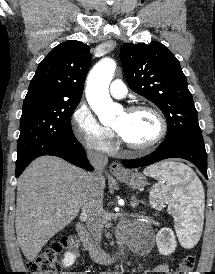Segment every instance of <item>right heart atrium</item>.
I'll use <instances>...</instances> for the list:
<instances>
[{
  "instance_id": "d8ad5b80",
  "label": "right heart atrium",
  "mask_w": 215,
  "mask_h": 274,
  "mask_svg": "<svg viewBox=\"0 0 215 274\" xmlns=\"http://www.w3.org/2000/svg\"><path fill=\"white\" fill-rule=\"evenodd\" d=\"M72 129L76 139L87 149L99 153L114 150L113 132L100 124L93 112L80 103L72 114Z\"/></svg>"
}]
</instances>
